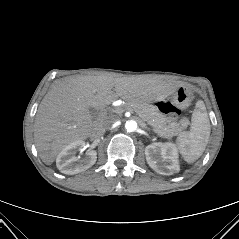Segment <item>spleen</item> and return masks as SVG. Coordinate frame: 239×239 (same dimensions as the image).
<instances>
[{
	"mask_svg": "<svg viewBox=\"0 0 239 239\" xmlns=\"http://www.w3.org/2000/svg\"><path fill=\"white\" fill-rule=\"evenodd\" d=\"M211 125L202 100L196 102L191 118L190 130L179 134L176 139L177 148L187 163L198 160L208 144Z\"/></svg>",
	"mask_w": 239,
	"mask_h": 239,
	"instance_id": "obj_1",
	"label": "spleen"
}]
</instances>
